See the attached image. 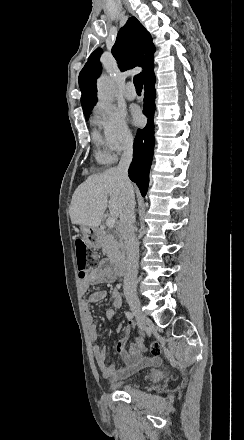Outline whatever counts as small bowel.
<instances>
[{
    "label": "small bowel",
    "instance_id": "1",
    "mask_svg": "<svg viewBox=\"0 0 244 440\" xmlns=\"http://www.w3.org/2000/svg\"><path fill=\"white\" fill-rule=\"evenodd\" d=\"M119 277L120 275L114 271L111 265L105 261H101L97 267L86 272V275L80 281L79 288L82 293H86L91 286L116 282L119 280ZM106 296V291L96 290L91 292L87 300L83 303V319L88 330L89 338L92 341H96L98 338V324L94 319L89 305L102 301ZM110 297L114 308H120L122 306V294L119 288L115 287L111 289ZM120 327V323L115 325L116 329H120ZM131 334L132 328L129 325L124 329L115 347L116 353L123 361L122 366L107 364L105 347L100 345L93 346L94 358L103 379L114 382L121 381L129 378L151 363H156L155 356L150 357L145 354V347L142 342L135 341L127 347V342Z\"/></svg>",
    "mask_w": 244,
    "mask_h": 440
}]
</instances>
